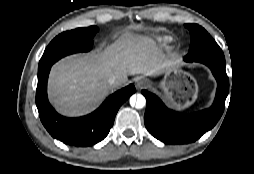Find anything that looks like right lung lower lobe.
<instances>
[{
    "instance_id": "obj_1",
    "label": "right lung lower lobe",
    "mask_w": 254,
    "mask_h": 174,
    "mask_svg": "<svg viewBox=\"0 0 254 174\" xmlns=\"http://www.w3.org/2000/svg\"><path fill=\"white\" fill-rule=\"evenodd\" d=\"M51 66L38 74L36 106L40 120L50 135L65 144L77 147L92 146L103 140L113 126L120 106L135 93L129 86L109 96L93 113L80 118L59 115L47 99V80Z\"/></svg>"
}]
</instances>
